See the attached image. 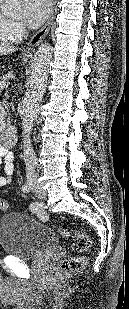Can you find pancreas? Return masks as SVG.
<instances>
[{"label": "pancreas", "mask_w": 129, "mask_h": 309, "mask_svg": "<svg viewBox=\"0 0 129 309\" xmlns=\"http://www.w3.org/2000/svg\"><path fill=\"white\" fill-rule=\"evenodd\" d=\"M2 83H6V79L0 77V84H2ZM2 116H3V117H6V116H7V112L4 111V110H2V109H0V118H1ZM5 125H6L5 120H3L2 122H0V128L4 127Z\"/></svg>", "instance_id": "pancreas-1"}]
</instances>
